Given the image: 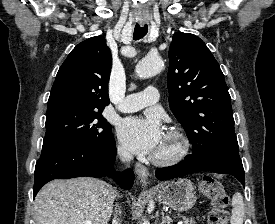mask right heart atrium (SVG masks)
Here are the masks:
<instances>
[{
    "label": "right heart atrium",
    "instance_id": "1",
    "mask_svg": "<svg viewBox=\"0 0 275 224\" xmlns=\"http://www.w3.org/2000/svg\"><path fill=\"white\" fill-rule=\"evenodd\" d=\"M118 153L122 156H125L126 155V152L125 150L121 147V146H118Z\"/></svg>",
    "mask_w": 275,
    "mask_h": 224
}]
</instances>
